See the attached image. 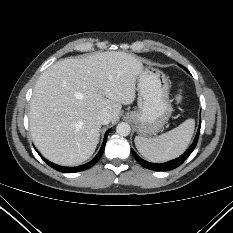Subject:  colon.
I'll list each match as a JSON object with an SVG mask.
<instances>
[{"instance_id": "5ec220e1", "label": "colon", "mask_w": 233, "mask_h": 233, "mask_svg": "<svg viewBox=\"0 0 233 233\" xmlns=\"http://www.w3.org/2000/svg\"><path fill=\"white\" fill-rule=\"evenodd\" d=\"M184 100V92L183 90H178L175 94L174 101L177 105H180Z\"/></svg>"}]
</instances>
